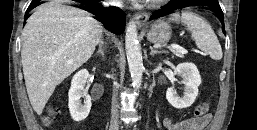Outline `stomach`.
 Returning a JSON list of instances; mask_svg holds the SVG:
<instances>
[{
    "mask_svg": "<svg viewBox=\"0 0 257 130\" xmlns=\"http://www.w3.org/2000/svg\"><path fill=\"white\" fill-rule=\"evenodd\" d=\"M171 34L170 24L163 20H158L149 28L147 39L152 43H165L170 40Z\"/></svg>",
    "mask_w": 257,
    "mask_h": 130,
    "instance_id": "obj_1",
    "label": "stomach"
}]
</instances>
